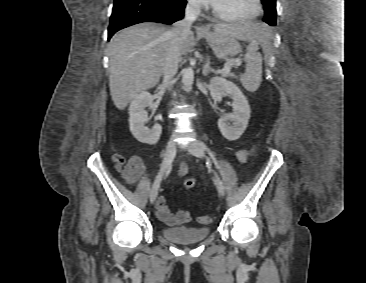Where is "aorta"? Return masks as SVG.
<instances>
[{"instance_id": "obj_1", "label": "aorta", "mask_w": 366, "mask_h": 283, "mask_svg": "<svg viewBox=\"0 0 366 283\" xmlns=\"http://www.w3.org/2000/svg\"><path fill=\"white\" fill-rule=\"evenodd\" d=\"M194 82V71L192 67L184 69L182 76V83L185 89H190Z\"/></svg>"}]
</instances>
